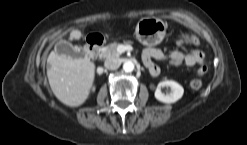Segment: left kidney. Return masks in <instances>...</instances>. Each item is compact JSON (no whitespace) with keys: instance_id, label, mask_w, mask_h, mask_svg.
<instances>
[{"instance_id":"1","label":"left kidney","mask_w":247,"mask_h":145,"mask_svg":"<svg viewBox=\"0 0 247 145\" xmlns=\"http://www.w3.org/2000/svg\"><path fill=\"white\" fill-rule=\"evenodd\" d=\"M163 86L170 87L171 92L166 95L163 94L160 90V88ZM183 93H184V89L179 83L173 80H165L159 83L155 91V97L157 100L169 104L178 101L183 96Z\"/></svg>"}]
</instances>
